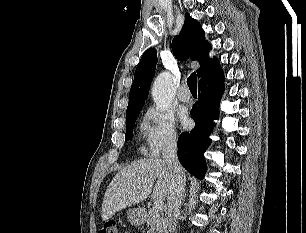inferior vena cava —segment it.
Wrapping results in <instances>:
<instances>
[{
	"label": "inferior vena cava",
	"instance_id": "obj_1",
	"mask_svg": "<svg viewBox=\"0 0 306 233\" xmlns=\"http://www.w3.org/2000/svg\"><path fill=\"white\" fill-rule=\"evenodd\" d=\"M162 157L171 171V185L167 196L165 219L170 233H175L180 206L185 191V173L177 157V140L171 136L165 143Z\"/></svg>",
	"mask_w": 306,
	"mask_h": 233
}]
</instances>
